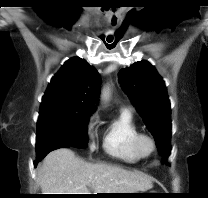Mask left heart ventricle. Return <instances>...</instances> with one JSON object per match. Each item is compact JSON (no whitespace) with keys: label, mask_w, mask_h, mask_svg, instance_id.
<instances>
[{"label":"left heart ventricle","mask_w":208,"mask_h":198,"mask_svg":"<svg viewBox=\"0 0 208 198\" xmlns=\"http://www.w3.org/2000/svg\"><path fill=\"white\" fill-rule=\"evenodd\" d=\"M144 148H145L146 150H148V149H149V144H148V143H145V144H144Z\"/></svg>","instance_id":"b2bd125f"}]
</instances>
